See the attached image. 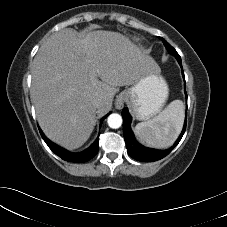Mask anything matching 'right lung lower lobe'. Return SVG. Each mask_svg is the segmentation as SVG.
<instances>
[{
  "label": "right lung lower lobe",
  "instance_id": "1",
  "mask_svg": "<svg viewBox=\"0 0 227 227\" xmlns=\"http://www.w3.org/2000/svg\"><path fill=\"white\" fill-rule=\"evenodd\" d=\"M111 113V112H110ZM108 113L106 116H104L101 121H100V126L103 122V120L110 114ZM40 134L43 138V140L46 142V144L48 145V147L56 154L58 155L60 158H62L63 160L69 161V162H77V163H81V162H86L90 159H92L98 152V146H99V136L97 137V139L93 142V144L86 150L80 152V153H72L69 152L63 148H61L60 146L54 144L53 142H51L49 139L46 138V136L43 134V132L41 131V129H39Z\"/></svg>",
  "mask_w": 227,
  "mask_h": 227
}]
</instances>
